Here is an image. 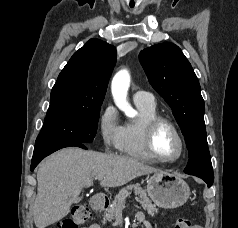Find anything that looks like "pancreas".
<instances>
[{"instance_id":"cf45deb5","label":"pancreas","mask_w":238,"mask_h":228,"mask_svg":"<svg viewBox=\"0 0 238 228\" xmlns=\"http://www.w3.org/2000/svg\"><path fill=\"white\" fill-rule=\"evenodd\" d=\"M134 191L139 196L138 202L142 205L143 209L148 212L151 216L158 213V209L151 200L147 197L145 190H143L138 183L130 184L127 187L120 190V192L114 198L110 207L106 210L102 223L105 224L107 221H112L115 217V212L118 207L125 204L124 197L129 195L130 191Z\"/></svg>"}]
</instances>
